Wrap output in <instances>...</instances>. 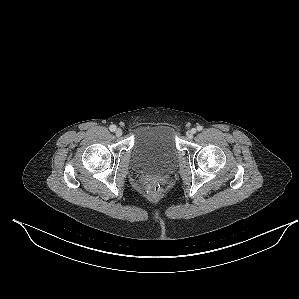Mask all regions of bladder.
Returning a JSON list of instances; mask_svg holds the SVG:
<instances>
[{
    "instance_id": "bladder-1",
    "label": "bladder",
    "mask_w": 299,
    "mask_h": 299,
    "mask_svg": "<svg viewBox=\"0 0 299 299\" xmlns=\"http://www.w3.org/2000/svg\"><path fill=\"white\" fill-rule=\"evenodd\" d=\"M131 163L140 173H167L178 161L176 132L170 125H144L133 134Z\"/></svg>"
}]
</instances>
